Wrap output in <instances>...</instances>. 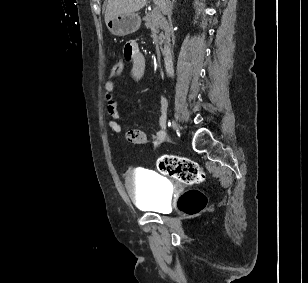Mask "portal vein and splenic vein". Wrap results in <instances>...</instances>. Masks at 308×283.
I'll use <instances>...</instances> for the list:
<instances>
[{"label": "portal vein and splenic vein", "instance_id": "portal-vein-and-splenic-vein-1", "mask_svg": "<svg viewBox=\"0 0 308 283\" xmlns=\"http://www.w3.org/2000/svg\"><path fill=\"white\" fill-rule=\"evenodd\" d=\"M160 8H161V4H156V7L154 8V10L158 11V10H160Z\"/></svg>", "mask_w": 308, "mask_h": 283}]
</instances>
